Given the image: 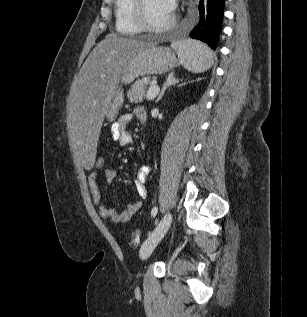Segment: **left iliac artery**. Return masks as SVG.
Masks as SVG:
<instances>
[{"instance_id":"obj_1","label":"left iliac artery","mask_w":307,"mask_h":317,"mask_svg":"<svg viewBox=\"0 0 307 317\" xmlns=\"http://www.w3.org/2000/svg\"><path fill=\"white\" fill-rule=\"evenodd\" d=\"M157 213H158V208L155 206V207H153V209L151 211V216L155 217L157 215Z\"/></svg>"}]
</instances>
